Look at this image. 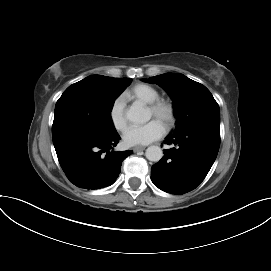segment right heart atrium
Masks as SVG:
<instances>
[{
  "label": "right heart atrium",
  "instance_id": "d8ad5b80",
  "mask_svg": "<svg viewBox=\"0 0 271 271\" xmlns=\"http://www.w3.org/2000/svg\"><path fill=\"white\" fill-rule=\"evenodd\" d=\"M109 118L116 130H123L127 124L125 114V99L123 96H118L112 102L109 110Z\"/></svg>",
  "mask_w": 271,
  "mask_h": 271
}]
</instances>
